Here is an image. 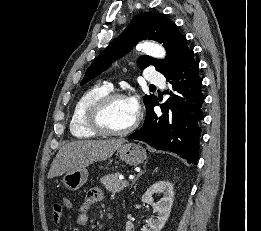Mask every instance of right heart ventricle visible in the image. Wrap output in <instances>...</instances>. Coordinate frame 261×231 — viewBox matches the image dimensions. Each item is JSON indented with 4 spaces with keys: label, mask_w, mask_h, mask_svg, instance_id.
I'll return each mask as SVG.
<instances>
[{
    "label": "right heart ventricle",
    "mask_w": 261,
    "mask_h": 231,
    "mask_svg": "<svg viewBox=\"0 0 261 231\" xmlns=\"http://www.w3.org/2000/svg\"><path fill=\"white\" fill-rule=\"evenodd\" d=\"M110 92V88L105 85H97L85 92L76 105L70 116V131L77 138H91L98 135L87 123V113L90 106L98 99Z\"/></svg>",
    "instance_id": "right-heart-ventricle-1"
}]
</instances>
